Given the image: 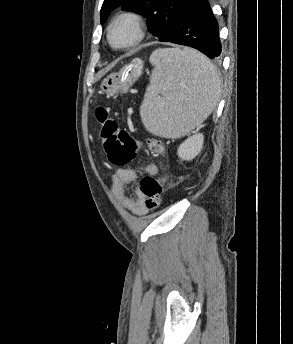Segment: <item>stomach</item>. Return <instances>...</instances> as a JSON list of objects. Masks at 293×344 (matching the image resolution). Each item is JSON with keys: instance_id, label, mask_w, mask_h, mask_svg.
Wrapping results in <instances>:
<instances>
[{"instance_id": "stomach-1", "label": "stomach", "mask_w": 293, "mask_h": 344, "mask_svg": "<svg viewBox=\"0 0 293 344\" xmlns=\"http://www.w3.org/2000/svg\"><path fill=\"white\" fill-rule=\"evenodd\" d=\"M143 63L136 59L123 67L118 73H112L101 82V89L108 96L127 93L142 73Z\"/></svg>"}]
</instances>
